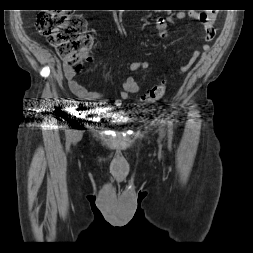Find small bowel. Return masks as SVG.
Returning <instances> with one entry per match:
<instances>
[{
    "label": "small bowel",
    "mask_w": 253,
    "mask_h": 253,
    "mask_svg": "<svg viewBox=\"0 0 253 253\" xmlns=\"http://www.w3.org/2000/svg\"><path fill=\"white\" fill-rule=\"evenodd\" d=\"M191 17L194 18L204 29L205 33V41L211 42L214 40L216 32L214 29V19L215 14L212 12H204V13H198V12H191ZM187 17V14L184 12H181L177 15L178 20H185ZM175 20L171 17L168 18H158L156 20V29L158 32V35L160 38L164 39L167 37L168 33V24L174 23ZM210 48L209 44H204L202 46V49L204 51H208ZM200 52L195 51L190 58V60L187 62L186 65L182 66L180 68V73L186 72L199 58ZM149 67V63L145 61H136L130 64L129 70L130 72H136L138 70H145ZM64 70V76L68 81L69 87L71 91L80 99L87 100V101H100L105 102L108 99V93L106 92H99V91H91L86 89L84 86H82L75 78V71L69 67L67 64H64L63 67ZM140 92V87L135 79L134 76L129 75L127 76L122 84V88L119 91V98H117L114 101L115 107H121L123 102L129 97L130 94H137Z\"/></svg>",
    "instance_id": "small-bowel-1"
}]
</instances>
